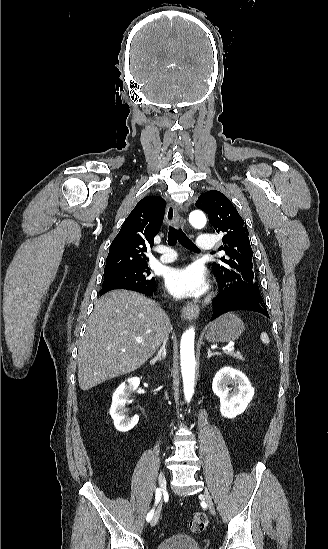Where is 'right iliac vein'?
Wrapping results in <instances>:
<instances>
[{"label": "right iliac vein", "instance_id": "obj_1", "mask_svg": "<svg viewBox=\"0 0 328 549\" xmlns=\"http://www.w3.org/2000/svg\"><path fill=\"white\" fill-rule=\"evenodd\" d=\"M158 481H159V485H160V488H161L162 492H165L166 488H167V485H166V477H165L163 472L159 473ZM158 521H159V512H156V514L154 515V517L151 520V526H155L158 523Z\"/></svg>", "mask_w": 328, "mask_h": 549}]
</instances>
